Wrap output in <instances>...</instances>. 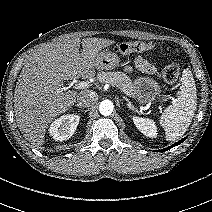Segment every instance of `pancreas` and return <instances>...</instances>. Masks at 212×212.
Returning a JSON list of instances; mask_svg holds the SVG:
<instances>
[{
    "mask_svg": "<svg viewBox=\"0 0 212 212\" xmlns=\"http://www.w3.org/2000/svg\"><path fill=\"white\" fill-rule=\"evenodd\" d=\"M98 78L105 83L116 86L127 95H130L133 91L130 78L122 72H101L99 73Z\"/></svg>",
    "mask_w": 212,
    "mask_h": 212,
    "instance_id": "pancreas-1",
    "label": "pancreas"
}]
</instances>
